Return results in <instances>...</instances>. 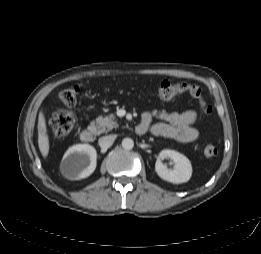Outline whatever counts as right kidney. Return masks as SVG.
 Masks as SVG:
<instances>
[{"instance_id": "ca27d5eb", "label": "right kidney", "mask_w": 261, "mask_h": 254, "mask_svg": "<svg viewBox=\"0 0 261 254\" xmlns=\"http://www.w3.org/2000/svg\"><path fill=\"white\" fill-rule=\"evenodd\" d=\"M97 165V153L89 144H76L70 147L61 162V172L70 180H80L90 176Z\"/></svg>"}]
</instances>
